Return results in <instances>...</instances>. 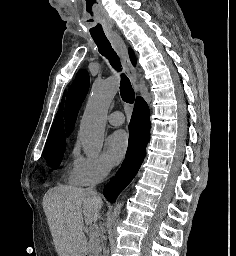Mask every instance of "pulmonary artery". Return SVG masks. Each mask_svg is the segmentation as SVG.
<instances>
[{
    "mask_svg": "<svg viewBox=\"0 0 236 256\" xmlns=\"http://www.w3.org/2000/svg\"><path fill=\"white\" fill-rule=\"evenodd\" d=\"M106 118H107V121L114 126H119L124 122L122 113L118 111L108 114Z\"/></svg>",
    "mask_w": 236,
    "mask_h": 256,
    "instance_id": "1",
    "label": "pulmonary artery"
}]
</instances>
